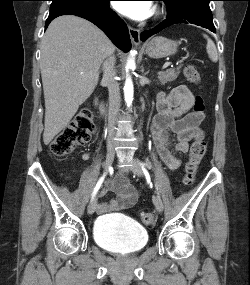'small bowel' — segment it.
<instances>
[{"label":"small bowel","mask_w":250,"mask_h":285,"mask_svg":"<svg viewBox=\"0 0 250 285\" xmlns=\"http://www.w3.org/2000/svg\"><path fill=\"white\" fill-rule=\"evenodd\" d=\"M195 97L186 86H178L169 93L157 97V115L152 124V138L161 160L171 169L180 166L175 153H186L192 140L203 137L199 128L203 113L191 111ZM175 135V142L171 139ZM115 198L96 205L98 214L126 209L135 204L138 191L123 176H117L109 186Z\"/></svg>","instance_id":"small-bowel-1"}]
</instances>
